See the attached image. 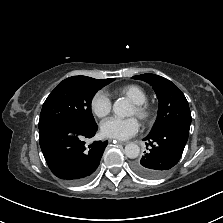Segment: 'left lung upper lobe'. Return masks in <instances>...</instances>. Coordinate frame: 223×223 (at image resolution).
<instances>
[{"instance_id":"left-lung-upper-lobe-1","label":"left lung upper lobe","mask_w":223,"mask_h":223,"mask_svg":"<svg viewBox=\"0 0 223 223\" xmlns=\"http://www.w3.org/2000/svg\"><path fill=\"white\" fill-rule=\"evenodd\" d=\"M132 78L149 83L159 100L158 117L150 134L170 126L190 129L191 112L188 101L175 84L162 76L151 73L137 75Z\"/></svg>"}]
</instances>
